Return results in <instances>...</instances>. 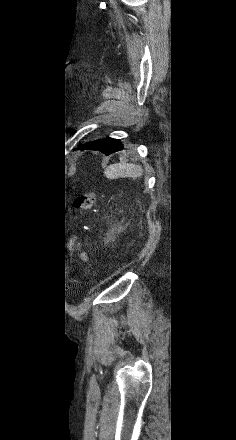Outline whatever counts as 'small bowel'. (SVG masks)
<instances>
[{"mask_svg":"<svg viewBox=\"0 0 236 440\" xmlns=\"http://www.w3.org/2000/svg\"><path fill=\"white\" fill-rule=\"evenodd\" d=\"M79 259L81 262L88 261V254L85 251H81L78 253Z\"/></svg>","mask_w":236,"mask_h":440,"instance_id":"obj_1","label":"small bowel"}]
</instances>
